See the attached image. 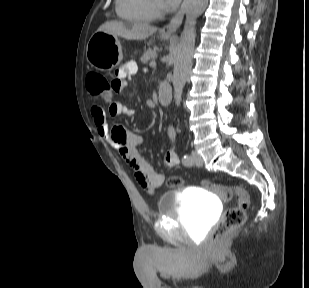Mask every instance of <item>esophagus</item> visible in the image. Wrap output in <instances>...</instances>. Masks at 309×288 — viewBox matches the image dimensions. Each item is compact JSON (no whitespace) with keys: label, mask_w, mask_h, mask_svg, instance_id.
I'll return each instance as SVG.
<instances>
[{"label":"esophagus","mask_w":309,"mask_h":288,"mask_svg":"<svg viewBox=\"0 0 309 288\" xmlns=\"http://www.w3.org/2000/svg\"><path fill=\"white\" fill-rule=\"evenodd\" d=\"M185 7H186V1H184L182 3L180 9L173 16V18L170 20V22L161 29V31H160L161 34L166 35V36H171L176 32V30L178 29V27L182 23L184 13H185Z\"/></svg>","instance_id":"34e87169"}]
</instances>
